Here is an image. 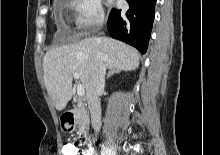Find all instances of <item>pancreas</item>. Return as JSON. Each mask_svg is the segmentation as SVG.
<instances>
[{
    "mask_svg": "<svg viewBox=\"0 0 220 155\" xmlns=\"http://www.w3.org/2000/svg\"><path fill=\"white\" fill-rule=\"evenodd\" d=\"M76 123L78 124L80 132L86 129L89 125L88 113L83 103L78 104V109L76 111Z\"/></svg>",
    "mask_w": 220,
    "mask_h": 155,
    "instance_id": "obj_1",
    "label": "pancreas"
}]
</instances>
